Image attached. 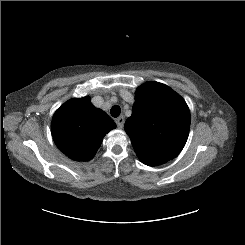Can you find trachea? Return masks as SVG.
<instances>
[{
  "mask_svg": "<svg viewBox=\"0 0 245 245\" xmlns=\"http://www.w3.org/2000/svg\"><path fill=\"white\" fill-rule=\"evenodd\" d=\"M111 115L116 118L121 113V108L118 105H114L110 110Z\"/></svg>",
  "mask_w": 245,
  "mask_h": 245,
  "instance_id": "trachea-1",
  "label": "trachea"
}]
</instances>
